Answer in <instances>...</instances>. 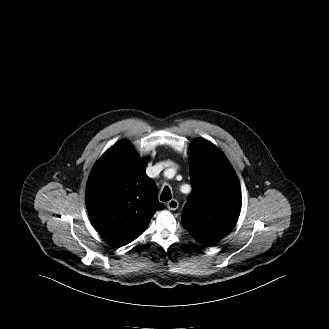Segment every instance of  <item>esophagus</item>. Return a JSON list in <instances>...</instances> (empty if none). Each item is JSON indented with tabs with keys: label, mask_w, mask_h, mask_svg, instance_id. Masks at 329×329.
<instances>
[{
	"label": "esophagus",
	"mask_w": 329,
	"mask_h": 329,
	"mask_svg": "<svg viewBox=\"0 0 329 329\" xmlns=\"http://www.w3.org/2000/svg\"><path fill=\"white\" fill-rule=\"evenodd\" d=\"M167 207H168L169 210H173L174 211V210L178 209L179 202L177 200H175V199H172V200H170L167 203Z\"/></svg>",
	"instance_id": "esophagus-1"
}]
</instances>
